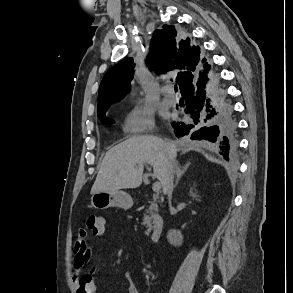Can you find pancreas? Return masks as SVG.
I'll return each instance as SVG.
<instances>
[{
	"instance_id": "cf45deb5",
	"label": "pancreas",
	"mask_w": 293,
	"mask_h": 293,
	"mask_svg": "<svg viewBox=\"0 0 293 293\" xmlns=\"http://www.w3.org/2000/svg\"><path fill=\"white\" fill-rule=\"evenodd\" d=\"M157 208H158L157 203L155 201L151 202V206L149 207L147 211V215H144L143 224L146 225V227L148 228V232H150L152 229L151 221L153 220L155 216V212L157 211Z\"/></svg>"
}]
</instances>
